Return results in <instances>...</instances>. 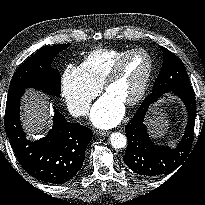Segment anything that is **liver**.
Returning a JSON list of instances; mask_svg holds the SVG:
<instances>
[{
    "label": "liver",
    "mask_w": 205,
    "mask_h": 205,
    "mask_svg": "<svg viewBox=\"0 0 205 205\" xmlns=\"http://www.w3.org/2000/svg\"><path fill=\"white\" fill-rule=\"evenodd\" d=\"M22 121L29 136L49 127L52 122V109L48 97L32 89L27 90L23 97Z\"/></svg>",
    "instance_id": "6515ba94"
}]
</instances>
